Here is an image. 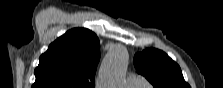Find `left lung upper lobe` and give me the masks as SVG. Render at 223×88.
Masks as SVG:
<instances>
[{"mask_svg":"<svg viewBox=\"0 0 223 88\" xmlns=\"http://www.w3.org/2000/svg\"><path fill=\"white\" fill-rule=\"evenodd\" d=\"M136 71L145 76L155 88H190L181 69L163 51L148 48L134 56Z\"/></svg>","mask_w":223,"mask_h":88,"instance_id":"1","label":"left lung upper lobe"}]
</instances>
